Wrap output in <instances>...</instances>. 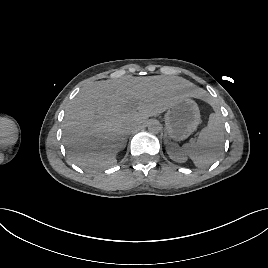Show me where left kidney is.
Instances as JSON below:
<instances>
[{"label": "left kidney", "mask_w": 268, "mask_h": 268, "mask_svg": "<svg viewBox=\"0 0 268 268\" xmlns=\"http://www.w3.org/2000/svg\"><path fill=\"white\" fill-rule=\"evenodd\" d=\"M167 152L169 154V157L178 163H183L187 160L185 154L181 151L178 145L171 144L167 148Z\"/></svg>", "instance_id": "left-kidney-1"}]
</instances>
